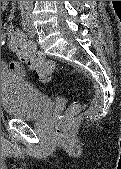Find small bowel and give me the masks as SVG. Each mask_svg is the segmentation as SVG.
<instances>
[{"label": "small bowel", "mask_w": 121, "mask_h": 169, "mask_svg": "<svg viewBox=\"0 0 121 169\" xmlns=\"http://www.w3.org/2000/svg\"><path fill=\"white\" fill-rule=\"evenodd\" d=\"M33 46H34V44H33ZM1 68L4 69V70L10 69L12 71H16V72H19V73L24 72V68H23L22 64L19 63V62H16V61H13V62H10V63L2 62Z\"/></svg>", "instance_id": "c3829d8e"}]
</instances>
